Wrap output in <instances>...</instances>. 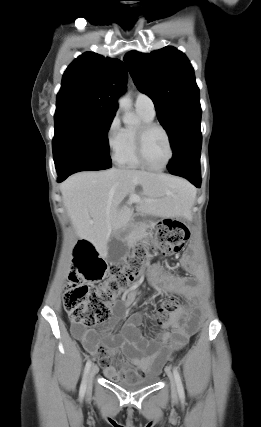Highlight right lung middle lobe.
Here are the masks:
<instances>
[{"instance_id": "dd1d6c3e", "label": "right lung middle lobe", "mask_w": 261, "mask_h": 427, "mask_svg": "<svg viewBox=\"0 0 261 427\" xmlns=\"http://www.w3.org/2000/svg\"><path fill=\"white\" fill-rule=\"evenodd\" d=\"M114 112L87 107L56 110L53 157L55 166L77 161L111 165L108 130Z\"/></svg>"}]
</instances>
